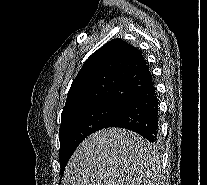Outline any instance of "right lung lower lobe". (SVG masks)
I'll return each mask as SVG.
<instances>
[{
	"label": "right lung lower lobe",
	"instance_id": "right-lung-lower-lobe-1",
	"mask_svg": "<svg viewBox=\"0 0 207 185\" xmlns=\"http://www.w3.org/2000/svg\"><path fill=\"white\" fill-rule=\"evenodd\" d=\"M158 98L154 83L134 96L107 127H121L134 131L149 142L159 141ZM106 127V128H107Z\"/></svg>",
	"mask_w": 207,
	"mask_h": 185
}]
</instances>
